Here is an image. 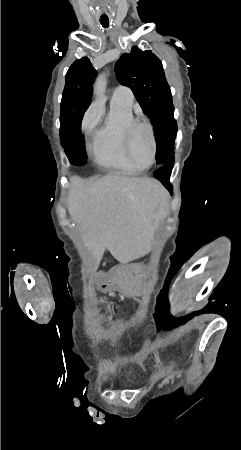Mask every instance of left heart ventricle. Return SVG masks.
Segmentation results:
<instances>
[{
  "label": "left heart ventricle",
  "mask_w": 241,
  "mask_h": 450,
  "mask_svg": "<svg viewBox=\"0 0 241 450\" xmlns=\"http://www.w3.org/2000/svg\"><path fill=\"white\" fill-rule=\"evenodd\" d=\"M140 124L144 128V130H142L139 126L133 127V128L138 130V132H139L138 136H140L136 140H133V142H132L133 155L135 157H139L137 159V162L140 165H149V163H150V158L148 156L149 151L147 150L148 149L147 145L144 144V140H146L147 137H150L146 133L147 130H149V129L153 130V129H152V127H148V121L147 120H142L140 122Z\"/></svg>",
  "instance_id": "obj_1"
}]
</instances>
